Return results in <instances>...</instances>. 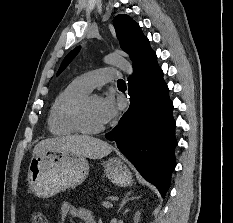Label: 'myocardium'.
Listing matches in <instances>:
<instances>
[{
    "mask_svg": "<svg viewBox=\"0 0 233 223\" xmlns=\"http://www.w3.org/2000/svg\"><path fill=\"white\" fill-rule=\"evenodd\" d=\"M93 95H87L84 99H82L74 108L72 113V123L74 128L77 130L78 133L83 135H97L101 133L105 126L101 125L97 128H89L85 122V114L88 102Z\"/></svg>",
    "mask_w": 233,
    "mask_h": 223,
    "instance_id": "f54148a6",
    "label": "myocardium"
}]
</instances>
